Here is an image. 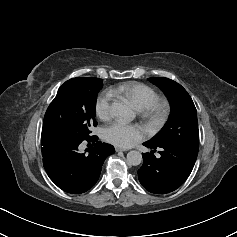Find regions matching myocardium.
<instances>
[{"label":"myocardium","mask_w":237,"mask_h":237,"mask_svg":"<svg viewBox=\"0 0 237 237\" xmlns=\"http://www.w3.org/2000/svg\"><path fill=\"white\" fill-rule=\"evenodd\" d=\"M142 111L143 115L149 121L158 124L163 122L167 118L170 107L167 101L157 99Z\"/></svg>","instance_id":"obj_1"}]
</instances>
